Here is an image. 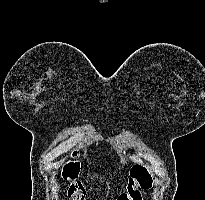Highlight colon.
Segmentation results:
<instances>
[{
    "label": "colon",
    "instance_id": "obj_1",
    "mask_svg": "<svg viewBox=\"0 0 205 200\" xmlns=\"http://www.w3.org/2000/svg\"><path fill=\"white\" fill-rule=\"evenodd\" d=\"M80 163L73 158L63 166L62 176L69 182L68 197L69 200H86V192L84 185L79 180ZM152 185V176L146 167L136 165L131 170L130 179L126 191L116 200H141L140 194L142 190L149 189Z\"/></svg>",
    "mask_w": 205,
    "mask_h": 200
}]
</instances>
